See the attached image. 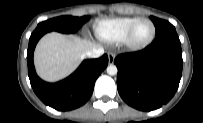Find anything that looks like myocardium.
Segmentation results:
<instances>
[{"instance_id": "1", "label": "myocardium", "mask_w": 203, "mask_h": 123, "mask_svg": "<svg viewBox=\"0 0 203 123\" xmlns=\"http://www.w3.org/2000/svg\"><path fill=\"white\" fill-rule=\"evenodd\" d=\"M143 22H149L152 25L153 32H152L151 37L147 41H145L143 43H136L133 41V35H134V32L137 29V27ZM155 36H156V26H155L154 22L148 18H141L129 28V30L127 31V33L123 39V43L127 48H129L131 50H141V49L147 47L148 45H150L153 42V40L155 39Z\"/></svg>"}]
</instances>
